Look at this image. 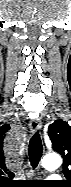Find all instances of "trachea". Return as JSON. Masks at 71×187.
<instances>
[{"label":"trachea","mask_w":71,"mask_h":187,"mask_svg":"<svg viewBox=\"0 0 71 187\" xmlns=\"http://www.w3.org/2000/svg\"><path fill=\"white\" fill-rule=\"evenodd\" d=\"M42 152H43V145L40 139L39 132L37 131L31 137L29 142V149H28L29 160L33 168H36L38 166L42 156Z\"/></svg>","instance_id":"3493384b"}]
</instances>
